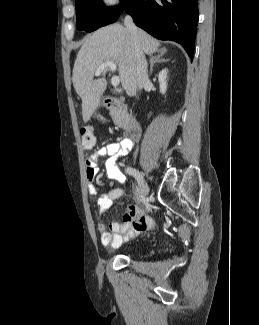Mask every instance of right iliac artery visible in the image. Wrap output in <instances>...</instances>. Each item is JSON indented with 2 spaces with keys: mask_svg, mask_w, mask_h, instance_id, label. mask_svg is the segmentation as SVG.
I'll list each match as a JSON object with an SVG mask.
<instances>
[{
  "mask_svg": "<svg viewBox=\"0 0 259 325\" xmlns=\"http://www.w3.org/2000/svg\"><path fill=\"white\" fill-rule=\"evenodd\" d=\"M126 173L129 174V175H132L133 177L135 178H139L138 175L140 174L138 170L132 168V167H127L125 169ZM138 183L140 182L139 180L137 181Z\"/></svg>",
  "mask_w": 259,
  "mask_h": 325,
  "instance_id": "1",
  "label": "right iliac artery"
}]
</instances>
